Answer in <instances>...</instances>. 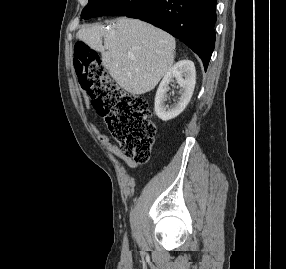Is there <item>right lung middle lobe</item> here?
<instances>
[{
	"instance_id": "right-lung-middle-lobe-1",
	"label": "right lung middle lobe",
	"mask_w": 286,
	"mask_h": 269,
	"mask_svg": "<svg viewBox=\"0 0 286 269\" xmlns=\"http://www.w3.org/2000/svg\"><path fill=\"white\" fill-rule=\"evenodd\" d=\"M151 0H89L81 13V18L97 16L128 15L146 5Z\"/></svg>"
}]
</instances>
